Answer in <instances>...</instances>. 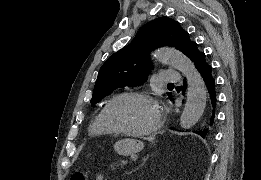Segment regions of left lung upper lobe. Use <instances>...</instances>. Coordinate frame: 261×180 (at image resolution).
Wrapping results in <instances>:
<instances>
[{
	"mask_svg": "<svg viewBox=\"0 0 261 180\" xmlns=\"http://www.w3.org/2000/svg\"><path fill=\"white\" fill-rule=\"evenodd\" d=\"M172 46L189 56L196 45L181 25L168 17H159L145 24L132 42L111 55L100 68L91 99L98 103L113 90L143 84L152 69L149 53L161 46ZM170 99L172 94L168 93Z\"/></svg>",
	"mask_w": 261,
	"mask_h": 180,
	"instance_id": "left-lung-upper-lobe-1",
	"label": "left lung upper lobe"
}]
</instances>
